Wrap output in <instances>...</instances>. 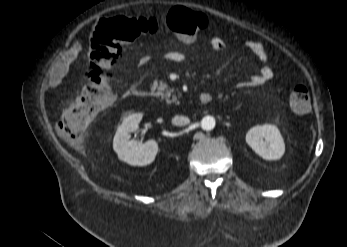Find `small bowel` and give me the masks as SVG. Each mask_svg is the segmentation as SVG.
I'll return each instance as SVG.
<instances>
[{"label": "small bowel", "instance_id": "obj_1", "mask_svg": "<svg viewBox=\"0 0 347 247\" xmlns=\"http://www.w3.org/2000/svg\"><path fill=\"white\" fill-rule=\"evenodd\" d=\"M191 42V41H185ZM210 46L215 51H223L226 47L224 39L218 36H213L209 40ZM246 48L253 54L256 60L260 63V68L257 74L252 75L244 84L250 87L261 86L268 82L274 75V68L269 59V56L262 43L258 41L249 40L245 44ZM80 50V46H75L70 55H67L61 61H57L53 64L51 71V78L55 81H59L68 68V58H72L77 55ZM69 56V57H68ZM165 60L169 62H183L186 60V55L180 51H169L164 56ZM149 58L144 56L141 58L139 65L143 66L148 62Z\"/></svg>", "mask_w": 347, "mask_h": 247}]
</instances>
